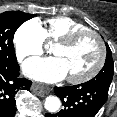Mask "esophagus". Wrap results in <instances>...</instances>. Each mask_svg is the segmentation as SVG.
<instances>
[{
    "label": "esophagus",
    "instance_id": "34e87169",
    "mask_svg": "<svg viewBox=\"0 0 117 117\" xmlns=\"http://www.w3.org/2000/svg\"><path fill=\"white\" fill-rule=\"evenodd\" d=\"M32 89L40 95H46L48 93L47 87H44L38 84H33Z\"/></svg>",
    "mask_w": 117,
    "mask_h": 117
}]
</instances>
